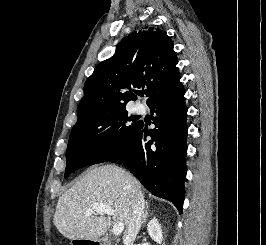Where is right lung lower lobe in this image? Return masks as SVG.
<instances>
[{"label":"right lung lower lobe","mask_w":266,"mask_h":245,"mask_svg":"<svg viewBox=\"0 0 266 245\" xmlns=\"http://www.w3.org/2000/svg\"><path fill=\"white\" fill-rule=\"evenodd\" d=\"M185 89L179 81L156 96L149 106L155 113L154 129L139 123L131 144L109 161L123 163L157 197L171 201L182 213L185 156L187 151V107ZM147 136L151 140H147Z\"/></svg>","instance_id":"98d812e1"}]
</instances>
